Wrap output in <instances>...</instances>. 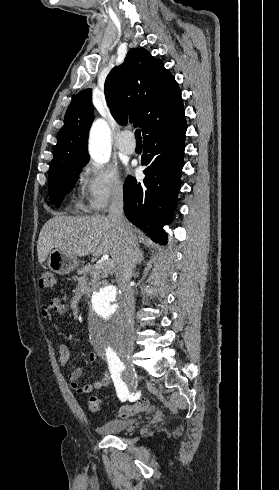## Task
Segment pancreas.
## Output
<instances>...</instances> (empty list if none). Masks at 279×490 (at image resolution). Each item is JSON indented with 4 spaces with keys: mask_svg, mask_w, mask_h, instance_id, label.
<instances>
[{
    "mask_svg": "<svg viewBox=\"0 0 279 490\" xmlns=\"http://www.w3.org/2000/svg\"><path fill=\"white\" fill-rule=\"evenodd\" d=\"M114 266H108V264H102V266H96V264H87V266H82L78 270V274L82 278H90L91 284H96L99 282L100 278H107L108 272L113 270Z\"/></svg>",
    "mask_w": 279,
    "mask_h": 490,
    "instance_id": "pancreas-1",
    "label": "pancreas"
}]
</instances>
